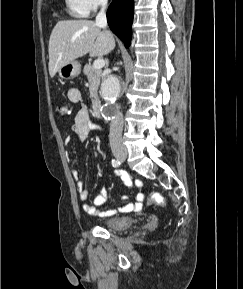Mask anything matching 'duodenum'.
Segmentation results:
<instances>
[{
  "instance_id": "obj_1",
  "label": "duodenum",
  "mask_w": 243,
  "mask_h": 289,
  "mask_svg": "<svg viewBox=\"0 0 243 289\" xmlns=\"http://www.w3.org/2000/svg\"><path fill=\"white\" fill-rule=\"evenodd\" d=\"M93 113L98 118L103 116V107L99 100H94L93 102Z\"/></svg>"
}]
</instances>
